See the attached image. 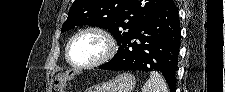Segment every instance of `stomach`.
<instances>
[{
	"mask_svg": "<svg viewBox=\"0 0 225 92\" xmlns=\"http://www.w3.org/2000/svg\"><path fill=\"white\" fill-rule=\"evenodd\" d=\"M136 84L135 77L130 73H122L114 79L104 82L88 92H132Z\"/></svg>",
	"mask_w": 225,
	"mask_h": 92,
	"instance_id": "0dacf381",
	"label": "stomach"
}]
</instances>
